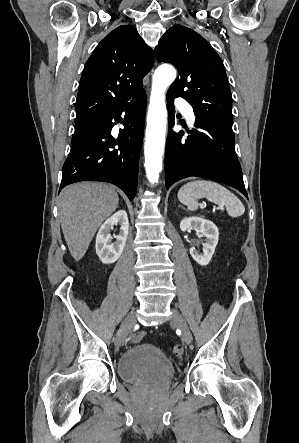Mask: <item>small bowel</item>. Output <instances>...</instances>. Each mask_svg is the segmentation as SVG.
Returning <instances> with one entry per match:
<instances>
[{
    "label": "small bowel",
    "instance_id": "small-bowel-1",
    "mask_svg": "<svg viewBox=\"0 0 299 443\" xmlns=\"http://www.w3.org/2000/svg\"><path fill=\"white\" fill-rule=\"evenodd\" d=\"M143 336H144L143 332L136 333L132 336V341L137 342L141 340Z\"/></svg>",
    "mask_w": 299,
    "mask_h": 443
}]
</instances>
